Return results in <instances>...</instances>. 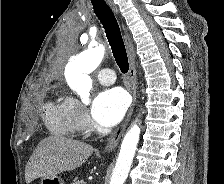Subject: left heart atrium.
Masks as SVG:
<instances>
[{
  "label": "left heart atrium",
  "mask_w": 224,
  "mask_h": 184,
  "mask_svg": "<svg viewBox=\"0 0 224 184\" xmlns=\"http://www.w3.org/2000/svg\"><path fill=\"white\" fill-rule=\"evenodd\" d=\"M128 107V97L119 88L108 89L97 95L91 114L101 126L112 127L124 116Z\"/></svg>",
  "instance_id": "39dd6f15"
}]
</instances>
